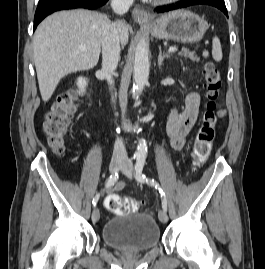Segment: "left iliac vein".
<instances>
[{"label":"left iliac vein","mask_w":265,"mask_h":269,"mask_svg":"<svg viewBox=\"0 0 265 269\" xmlns=\"http://www.w3.org/2000/svg\"><path fill=\"white\" fill-rule=\"evenodd\" d=\"M133 169H134L133 163L130 160L125 159L123 161V165L121 167L122 172L128 178H132V176H133ZM158 217H159V220L162 223H167V221H168V215H167L166 211H164V210L159 211Z\"/></svg>","instance_id":"4c4485c4"}]
</instances>
